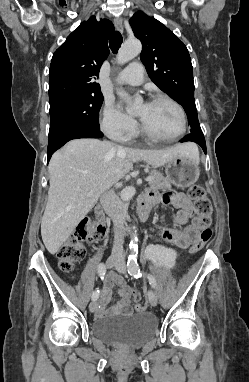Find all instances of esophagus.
<instances>
[{
	"label": "esophagus",
	"mask_w": 249,
	"mask_h": 382,
	"mask_svg": "<svg viewBox=\"0 0 249 382\" xmlns=\"http://www.w3.org/2000/svg\"><path fill=\"white\" fill-rule=\"evenodd\" d=\"M114 25L116 27V29L118 31H120L121 33H123L124 31V28H123V23H122V20L120 18H115L114 19Z\"/></svg>",
	"instance_id": "obj_1"
}]
</instances>
